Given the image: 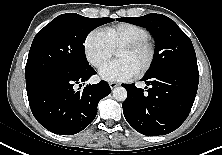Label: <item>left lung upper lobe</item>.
Returning a JSON list of instances; mask_svg holds the SVG:
<instances>
[{
	"instance_id": "5c2ea615",
	"label": "left lung upper lobe",
	"mask_w": 222,
	"mask_h": 155,
	"mask_svg": "<svg viewBox=\"0 0 222 155\" xmlns=\"http://www.w3.org/2000/svg\"><path fill=\"white\" fill-rule=\"evenodd\" d=\"M118 20L146 28L153 35L155 54L148 73L170 68L198 72L196 54L190 38L167 16L152 13Z\"/></svg>"
}]
</instances>
